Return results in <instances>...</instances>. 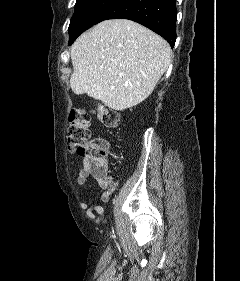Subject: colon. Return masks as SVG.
<instances>
[{"mask_svg":"<svg viewBox=\"0 0 240 281\" xmlns=\"http://www.w3.org/2000/svg\"><path fill=\"white\" fill-rule=\"evenodd\" d=\"M103 127L115 128L118 124V114L104 106H99L92 112ZM67 140L69 151L77 156L89 160V169L97 174L104 175L112 157L108 151V142L103 138H91L89 123L91 112L75 108L69 114Z\"/></svg>","mask_w":240,"mask_h":281,"instance_id":"obj_1","label":"colon"}]
</instances>
